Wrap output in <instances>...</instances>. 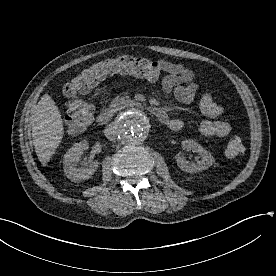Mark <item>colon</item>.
Listing matches in <instances>:
<instances>
[{
    "instance_id": "5ec220e1",
    "label": "colon",
    "mask_w": 276,
    "mask_h": 276,
    "mask_svg": "<svg viewBox=\"0 0 276 276\" xmlns=\"http://www.w3.org/2000/svg\"><path fill=\"white\" fill-rule=\"evenodd\" d=\"M157 61L147 58L122 55L93 63L71 79L64 87L67 103L66 128L78 133L89 126L93 120V106L78 95L90 92L98 83L114 74H128L155 81L161 74ZM245 150L240 137L234 136L225 145V154L229 158L240 156Z\"/></svg>"
}]
</instances>
